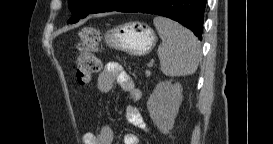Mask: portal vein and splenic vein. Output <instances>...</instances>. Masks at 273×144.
Listing matches in <instances>:
<instances>
[{
  "mask_svg": "<svg viewBox=\"0 0 273 144\" xmlns=\"http://www.w3.org/2000/svg\"><path fill=\"white\" fill-rule=\"evenodd\" d=\"M152 65H153V62H150V63L148 64L149 67H152Z\"/></svg>",
  "mask_w": 273,
  "mask_h": 144,
  "instance_id": "1",
  "label": "portal vein and splenic vein"
}]
</instances>
